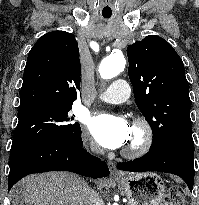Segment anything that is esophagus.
<instances>
[{"label":"esophagus","instance_id":"esophagus-1","mask_svg":"<svg viewBox=\"0 0 199 205\" xmlns=\"http://www.w3.org/2000/svg\"><path fill=\"white\" fill-rule=\"evenodd\" d=\"M108 166L113 177H121V173L117 170L115 163L108 162Z\"/></svg>","mask_w":199,"mask_h":205}]
</instances>
